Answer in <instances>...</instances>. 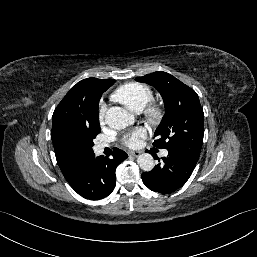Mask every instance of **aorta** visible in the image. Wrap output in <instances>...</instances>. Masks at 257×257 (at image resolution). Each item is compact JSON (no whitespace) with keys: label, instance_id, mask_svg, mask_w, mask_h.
<instances>
[{"label":"aorta","instance_id":"762f6f07","mask_svg":"<svg viewBox=\"0 0 257 257\" xmlns=\"http://www.w3.org/2000/svg\"><path fill=\"white\" fill-rule=\"evenodd\" d=\"M106 124L116 130L124 129L135 122V117L125 109L115 106L107 110L105 115ZM137 163L143 171H151L154 168L152 155L143 153L138 156Z\"/></svg>","mask_w":257,"mask_h":257}]
</instances>
